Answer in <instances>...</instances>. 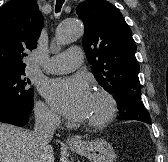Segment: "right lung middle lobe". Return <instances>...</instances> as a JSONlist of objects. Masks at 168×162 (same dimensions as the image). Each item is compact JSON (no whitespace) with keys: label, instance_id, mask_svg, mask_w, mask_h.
I'll return each mask as SVG.
<instances>
[{"label":"right lung middle lobe","instance_id":"obj_1","mask_svg":"<svg viewBox=\"0 0 168 162\" xmlns=\"http://www.w3.org/2000/svg\"><path fill=\"white\" fill-rule=\"evenodd\" d=\"M24 72L0 75V104L33 109V90Z\"/></svg>","mask_w":168,"mask_h":162}]
</instances>
